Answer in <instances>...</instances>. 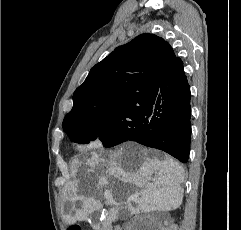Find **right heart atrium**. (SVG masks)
<instances>
[{"instance_id":"d8ad5b80","label":"right heart atrium","mask_w":241,"mask_h":230,"mask_svg":"<svg viewBox=\"0 0 241 230\" xmlns=\"http://www.w3.org/2000/svg\"><path fill=\"white\" fill-rule=\"evenodd\" d=\"M103 144L102 139L100 137H97L93 140H91L88 144L87 147L89 148H99Z\"/></svg>"}]
</instances>
